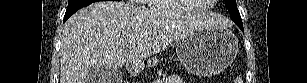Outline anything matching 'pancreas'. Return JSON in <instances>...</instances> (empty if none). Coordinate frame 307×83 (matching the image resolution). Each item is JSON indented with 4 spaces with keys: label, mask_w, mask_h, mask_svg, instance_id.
<instances>
[{
    "label": "pancreas",
    "mask_w": 307,
    "mask_h": 83,
    "mask_svg": "<svg viewBox=\"0 0 307 83\" xmlns=\"http://www.w3.org/2000/svg\"><path fill=\"white\" fill-rule=\"evenodd\" d=\"M157 74H158L159 76H161V75H162L161 71H158V72H157Z\"/></svg>",
    "instance_id": "cf45deb5"
}]
</instances>
